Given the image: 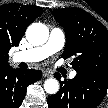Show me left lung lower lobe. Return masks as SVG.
Masks as SVG:
<instances>
[{
  "label": "left lung lower lobe",
  "mask_w": 108,
  "mask_h": 108,
  "mask_svg": "<svg viewBox=\"0 0 108 108\" xmlns=\"http://www.w3.org/2000/svg\"><path fill=\"white\" fill-rule=\"evenodd\" d=\"M59 80V75H56ZM108 89V70L77 73L60 81V90L47 99L49 108H97Z\"/></svg>",
  "instance_id": "obj_1"
}]
</instances>
